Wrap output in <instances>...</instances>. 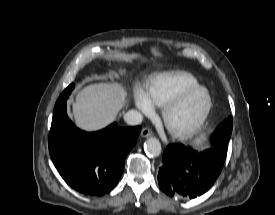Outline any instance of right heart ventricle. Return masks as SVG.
Segmentation results:
<instances>
[{
  "label": "right heart ventricle",
  "mask_w": 275,
  "mask_h": 215,
  "mask_svg": "<svg viewBox=\"0 0 275 215\" xmlns=\"http://www.w3.org/2000/svg\"><path fill=\"white\" fill-rule=\"evenodd\" d=\"M199 85L198 80L185 71L160 73L151 78L147 94L155 106L163 107L181 91Z\"/></svg>",
  "instance_id": "right-heart-ventricle-1"
}]
</instances>
